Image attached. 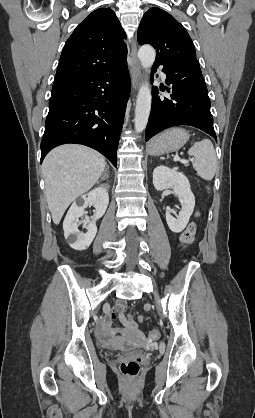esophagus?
<instances>
[{
  "label": "esophagus",
  "mask_w": 255,
  "mask_h": 418,
  "mask_svg": "<svg viewBox=\"0 0 255 418\" xmlns=\"http://www.w3.org/2000/svg\"><path fill=\"white\" fill-rule=\"evenodd\" d=\"M131 59H132V62H133V65H132L133 88H134V90H136L139 86L140 79H141V69H140V66H139L138 60H137V47H136L135 42H133V44H132Z\"/></svg>",
  "instance_id": "34e87169"
}]
</instances>
